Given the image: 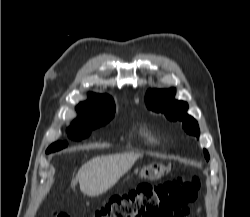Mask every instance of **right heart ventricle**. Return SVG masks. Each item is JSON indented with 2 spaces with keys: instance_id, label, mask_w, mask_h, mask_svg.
Returning <instances> with one entry per match:
<instances>
[{
  "instance_id": "right-heart-ventricle-1",
  "label": "right heart ventricle",
  "mask_w": 250,
  "mask_h": 217,
  "mask_svg": "<svg viewBox=\"0 0 250 217\" xmlns=\"http://www.w3.org/2000/svg\"><path fill=\"white\" fill-rule=\"evenodd\" d=\"M139 133H140V135H141L142 137L145 138V140H146L147 142H149V143H153V142H154L153 137L151 136V134H150L146 129L141 128V129L139 130Z\"/></svg>"
}]
</instances>
